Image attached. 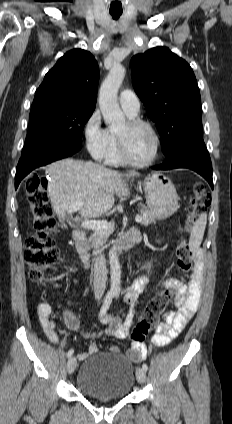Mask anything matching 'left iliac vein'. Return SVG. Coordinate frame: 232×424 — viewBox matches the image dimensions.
<instances>
[{
	"mask_svg": "<svg viewBox=\"0 0 232 424\" xmlns=\"http://www.w3.org/2000/svg\"><path fill=\"white\" fill-rule=\"evenodd\" d=\"M136 378L139 383H144L146 381V371L143 368H137Z\"/></svg>",
	"mask_w": 232,
	"mask_h": 424,
	"instance_id": "4c4485c4",
	"label": "left iliac vein"
}]
</instances>
